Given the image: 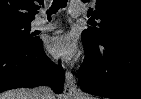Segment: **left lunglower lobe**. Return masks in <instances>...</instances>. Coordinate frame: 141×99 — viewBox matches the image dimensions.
I'll list each match as a JSON object with an SVG mask.
<instances>
[{"label":"left lung lower lobe","instance_id":"left-lung-lower-lobe-1","mask_svg":"<svg viewBox=\"0 0 141 99\" xmlns=\"http://www.w3.org/2000/svg\"><path fill=\"white\" fill-rule=\"evenodd\" d=\"M78 73L81 90L112 99H141V39L109 38L94 46L86 41Z\"/></svg>","mask_w":141,"mask_h":99}]
</instances>
